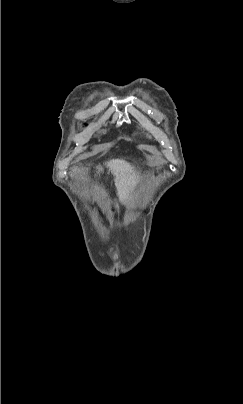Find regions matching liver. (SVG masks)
<instances>
[{
	"label": "liver",
	"instance_id": "obj_1",
	"mask_svg": "<svg viewBox=\"0 0 243 404\" xmlns=\"http://www.w3.org/2000/svg\"><path fill=\"white\" fill-rule=\"evenodd\" d=\"M107 166L111 168V172L115 176V186L119 202L121 204H131L132 198H134L132 196L134 188L139 182L133 166H130L124 160H110ZM98 170L102 172V168H98Z\"/></svg>",
	"mask_w": 243,
	"mask_h": 404
}]
</instances>
